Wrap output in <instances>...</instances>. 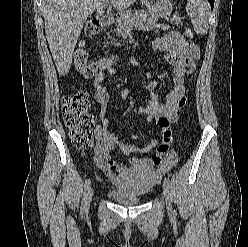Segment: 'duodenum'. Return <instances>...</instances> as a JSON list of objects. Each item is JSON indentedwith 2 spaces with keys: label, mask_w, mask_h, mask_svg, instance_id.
Masks as SVG:
<instances>
[{
  "label": "duodenum",
  "mask_w": 248,
  "mask_h": 247,
  "mask_svg": "<svg viewBox=\"0 0 248 247\" xmlns=\"http://www.w3.org/2000/svg\"><path fill=\"white\" fill-rule=\"evenodd\" d=\"M98 23H99V25L101 24V25H103L104 27H106V26H108L109 25V23H110V18H109V16L108 15H106V14H100L99 16H98Z\"/></svg>",
  "instance_id": "duodenum-1"
}]
</instances>
